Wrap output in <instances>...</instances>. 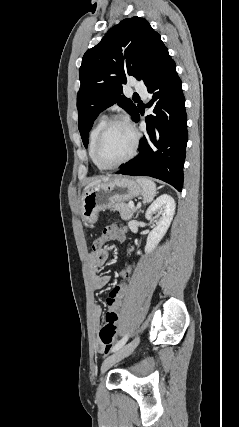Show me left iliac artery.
<instances>
[{
    "label": "left iliac artery",
    "mask_w": 239,
    "mask_h": 427,
    "mask_svg": "<svg viewBox=\"0 0 239 427\" xmlns=\"http://www.w3.org/2000/svg\"><path fill=\"white\" fill-rule=\"evenodd\" d=\"M129 337V334L125 335L120 341L117 342V344L113 347L112 351L115 352L119 350L121 347L124 346V344L127 342Z\"/></svg>",
    "instance_id": "obj_1"
}]
</instances>
